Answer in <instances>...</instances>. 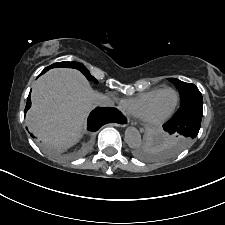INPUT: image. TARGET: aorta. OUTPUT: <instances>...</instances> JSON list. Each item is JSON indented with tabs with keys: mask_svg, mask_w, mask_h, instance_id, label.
Wrapping results in <instances>:
<instances>
[{
	"mask_svg": "<svg viewBox=\"0 0 225 225\" xmlns=\"http://www.w3.org/2000/svg\"><path fill=\"white\" fill-rule=\"evenodd\" d=\"M141 135L136 128L129 127L125 131V142L130 148H137L141 144Z\"/></svg>",
	"mask_w": 225,
	"mask_h": 225,
	"instance_id": "762f6f07",
	"label": "aorta"
}]
</instances>
